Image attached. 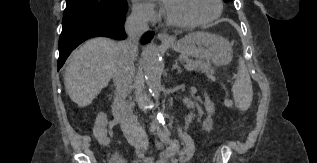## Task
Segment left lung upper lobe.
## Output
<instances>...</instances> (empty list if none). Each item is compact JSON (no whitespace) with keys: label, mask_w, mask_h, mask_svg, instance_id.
<instances>
[{"label":"left lung upper lobe","mask_w":317,"mask_h":163,"mask_svg":"<svg viewBox=\"0 0 317 163\" xmlns=\"http://www.w3.org/2000/svg\"><path fill=\"white\" fill-rule=\"evenodd\" d=\"M225 2H228L229 0H224Z\"/></svg>","instance_id":"1"}]
</instances>
